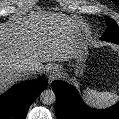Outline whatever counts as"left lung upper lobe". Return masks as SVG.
<instances>
[{
    "mask_svg": "<svg viewBox=\"0 0 119 119\" xmlns=\"http://www.w3.org/2000/svg\"><path fill=\"white\" fill-rule=\"evenodd\" d=\"M105 19L107 30L102 35L101 40L114 41V39H119V26L113 19L109 17H105Z\"/></svg>",
    "mask_w": 119,
    "mask_h": 119,
    "instance_id": "5c2ea615",
    "label": "left lung upper lobe"
}]
</instances>
